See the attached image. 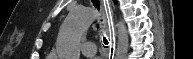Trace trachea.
<instances>
[{
    "mask_svg": "<svg viewBox=\"0 0 193 59\" xmlns=\"http://www.w3.org/2000/svg\"><path fill=\"white\" fill-rule=\"evenodd\" d=\"M95 7H97V9L99 10V5H94ZM104 44L107 45L108 44V40L104 37L103 38Z\"/></svg>",
    "mask_w": 193,
    "mask_h": 59,
    "instance_id": "trachea-1",
    "label": "trachea"
}]
</instances>
